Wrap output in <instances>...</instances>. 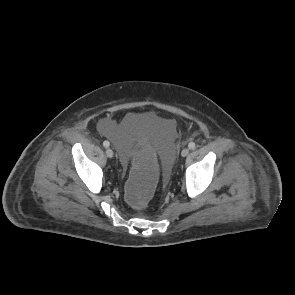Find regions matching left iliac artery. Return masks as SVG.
<instances>
[{"mask_svg":"<svg viewBox=\"0 0 295 295\" xmlns=\"http://www.w3.org/2000/svg\"><path fill=\"white\" fill-rule=\"evenodd\" d=\"M188 147L190 148V149H195V147H196V144L194 143V142H190L189 144H188Z\"/></svg>","mask_w":295,"mask_h":295,"instance_id":"left-iliac-artery-1","label":"left iliac artery"}]
</instances>
